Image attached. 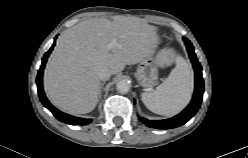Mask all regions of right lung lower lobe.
Segmentation results:
<instances>
[{
  "label": "right lung lower lobe",
  "instance_id": "1",
  "mask_svg": "<svg viewBox=\"0 0 248 158\" xmlns=\"http://www.w3.org/2000/svg\"><path fill=\"white\" fill-rule=\"evenodd\" d=\"M55 42L52 45V47L49 49V51L46 52V54L44 55L43 59H42V65L38 71V76H37V87H38V93H39V97L40 100L42 102V104L52 112V114L61 122L67 123V124H71V125H87L89 124L92 120L91 119H84V118H78V117H74L68 114H65L61 111H59L58 109H56L54 106H52L49 101L47 100L44 91H43V87H42V75H43V71H44V67L47 61L48 56L50 55L52 49L54 48Z\"/></svg>",
  "mask_w": 248,
  "mask_h": 158
}]
</instances>
